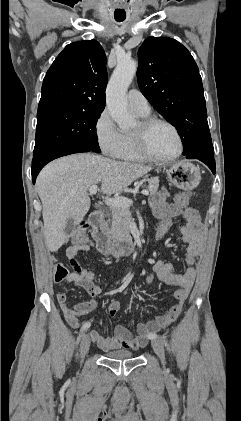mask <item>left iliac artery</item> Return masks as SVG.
Masks as SVG:
<instances>
[{
  "label": "left iliac artery",
  "mask_w": 241,
  "mask_h": 421,
  "mask_svg": "<svg viewBox=\"0 0 241 421\" xmlns=\"http://www.w3.org/2000/svg\"><path fill=\"white\" fill-rule=\"evenodd\" d=\"M151 338H152V339H156V338L161 339V340H162V342L165 344V346L168 348V343H167V341H166V339H165V337H164V336L158 337V336L154 335V336H152ZM168 349H169V348H168Z\"/></svg>",
  "instance_id": "obj_1"
}]
</instances>
